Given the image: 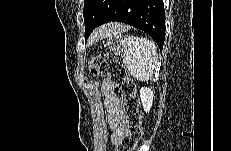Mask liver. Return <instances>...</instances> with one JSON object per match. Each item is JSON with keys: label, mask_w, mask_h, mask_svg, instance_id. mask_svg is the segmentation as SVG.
<instances>
[{"label": "liver", "mask_w": 231, "mask_h": 151, "mask_svg": "<svg viewBox=\"0 0 231 151\" xmlns=\"http://www.w3.org/2000/svg\"><path fill=\"white\" fill-rule=\"evenodd\" d=\"M123 28H124V25L120 23L105 24L94 31L90 40L93 42L95 40L104 38L106 36H110L113 34H119Z\"/></svg>", "instance_id": "liver-1"}]
</instances>
